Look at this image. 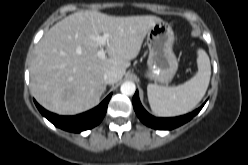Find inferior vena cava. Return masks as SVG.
Instances as JSON below:
<instances>
[{
	"label": "inferior vena cava",
	"mask_w": 248,
	"mask_h": 165,
	"mask_svg": "<svg viewBox=\"0 0 248 165\" xmlns=\"http://www.w3.org/2000/svg\"><path fill=\"white\" fill-rule=\"evenodd\" d=\"M104 82L106 84H114L117 82V74L115 72H107L104 74Z\"/></svg>",
	"instance_id": "obj_1"
}]
</instances>
